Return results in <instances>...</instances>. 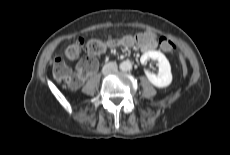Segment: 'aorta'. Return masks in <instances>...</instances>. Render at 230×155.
<instances>
[{"instance_id":"obj_1","label":"aorta","mask_w":230,"mask_h":155,"mask_svg":"<svg viewBox=\"0 0 230 155\" xmlns=\"http://www.w3.org/2000/svg\"><path fill=\"white\" fill-rule=\"evenodd\" d=\"M120 69L122 71H130L132 69V63L130 61H123L120 64Z\"/></svg>"}]
</instances>
